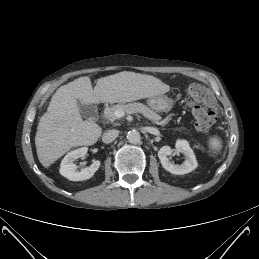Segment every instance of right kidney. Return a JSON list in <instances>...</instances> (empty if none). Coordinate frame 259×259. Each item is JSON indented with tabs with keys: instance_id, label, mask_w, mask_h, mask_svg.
Here are the masks:
<instances>
[{
	"instance_id": "ca27d5eb",
	"label": "right kidney",
	"mask_w": 259,
	"mask_h": 259,
	"mask_svg": "<svg viewBox=\"0 0 259 259\" xmlns=\"http://www.w3.org/2000/svg\"><path fill=\"white\" fill-rule=\"evenodd\" d=\"M87 151V147H82L69 152L61 162L60 174L71 181H83L90 179L100 167L99 160H94L89 167L81 169V171H76L77 166L74 164V161L78 158L84 157Z\"/></svg>"
}]
</instances>
